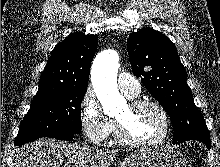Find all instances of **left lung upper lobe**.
<instances>
[{
	"label": "left lung upper lobe",
	"instance_id": "5c2ea615",
	"mask_svg": "<svg viewBox=\"0 0 220 167\" xmlns=\"http://www.w3.org/2000/svg\"><path fill=\"white\" fill-rule=\"evenodd\" d=\"M127 48L134 75L171 118L173 141L210 138L187 85L185 67L171 40L161 32L144 28L130 34Z\"/></svg>",
	"mask_w": 220,
	"mask_h": 167
}]
</instances>
